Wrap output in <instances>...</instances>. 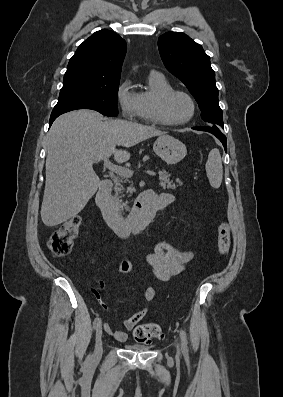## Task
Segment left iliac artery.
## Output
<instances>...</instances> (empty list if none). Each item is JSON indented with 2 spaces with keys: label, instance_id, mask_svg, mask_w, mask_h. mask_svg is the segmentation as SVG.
I'll use <instances>...</instances> for the list:
<instances>
[{
  "label": "left iliac artery",
  "instance_id": "obj_1",
  "mask_svg": "<svg viewBox=\"0 0 283 397\" xmlns=\"http://www.w3.org/2000/svg\"><path fill=\"white\" fill-rule=\"evenodd\" d=\"M181 349L186 358H188L187 337L184 330H180Z\"/></svg>",
  "mask_w": 283,
  "mask_h": 397
}]
</instances>
